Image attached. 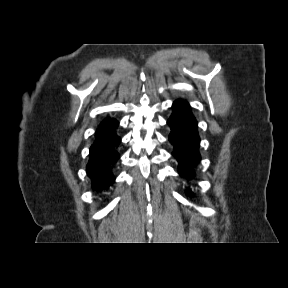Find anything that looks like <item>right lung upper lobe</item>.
Wrapping results in <instances>:
<instances>
[{"mask_svg":"<svg viewBox=\"0 0 288 288\" xmlns=\"http://www.w3.org/2000/svg\"><path fill=\"white\" fill-rule=\"evenodd\" d=\"M118 126V122L115 119L107 118L105 119L99 126V128L96 131V140H101L109 135L112 134V132L116 129Z\"/></svg>","mask_w":288,"mask_h":288,"instance_id":"right-lung-upper-lobe-1","label":"right lung upper lobe"}]
</instances>
